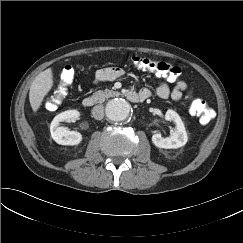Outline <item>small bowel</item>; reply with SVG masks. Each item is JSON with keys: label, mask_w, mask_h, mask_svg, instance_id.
<instances>
[{"label": "small bowel", "mask_w": 243, "mask_h": 243, "mask_svg": "<svg viewBox=\"0 0 243 243\" xmlns=\"http://www.w3.org/2000/svg\"><path fill=\"white\" fill-rule=\"evenodd\" d=\"M124 75V71L118 67H106L98 70L95 76L96 83H102L106 81H112L118 79ZM139 94L147 95L150 97L151 91L147 88H142ZM156 94L162 99L171 98L174 101L181 100L184 96L186 99L192 98V93L188 90V85L184 80L178 81L173 89L169 84L164 81H160L156 87Z\"/></svg>", "instance_id": "c3829d8e"}]
</instances>
